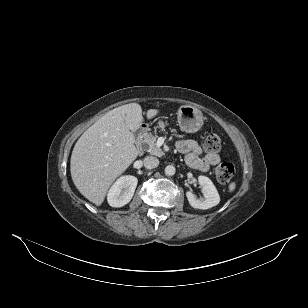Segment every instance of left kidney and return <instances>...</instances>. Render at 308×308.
Masks as SVG:
<instances>
[{
  "label": "left kidney",
  "mask_w": 308,
  "mask_h": 308,
  "mask_svg": "<svg viewBox=\"0 0 308 308\" xmlns=\"http://www.w3.org/2000/svg\"><path fill=\"white\" fill-rule=\"evenodd\" d=\"M198 181L204 191V199H197L192 191L186 192L189 204L195 209L206 210L219 204L220 196L213 182L206 176H199Z\"/></svg>",
  "instance_id": "5707ae66"
}]
</instances>
